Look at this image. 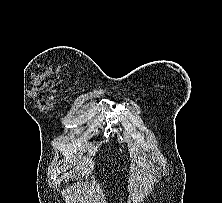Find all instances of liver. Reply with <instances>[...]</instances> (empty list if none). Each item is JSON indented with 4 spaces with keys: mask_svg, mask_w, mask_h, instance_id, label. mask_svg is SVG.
<instances>
[{
    "mask_svg": "<svg viewBox=\"0 0 222 203\" xmlns=\"http://www.w3.org/2000/svg\"><path fill=\"white\" fill-rule=\"evenodd\" d=\"M93 155H94V152H90V153H89V156H93ZM88 163H89V159H86V157H84L83 162H79L78 164H74V165H75V168H76V169H78L79 166H81V168L83 169V166H84L85 164H88Z\"/></svg>",
    "mask_w": 222,
    "mask_h": 203,
    "instance_id": "1",
    "label": "liver"
}]
</instances>
